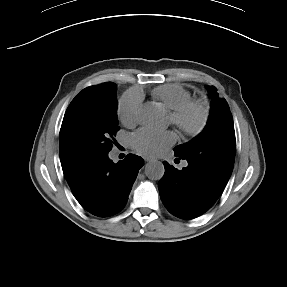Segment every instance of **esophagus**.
I'll return each instance as SVG.
<instances>
[{"mask_svg": "<svg viewBox=\"0 0 287 287\" xmlns=\"http://www.w3.org/2000/svg\"><path fill=\"white\" fill-rule=\"evenodd\" d=\"M144 160H145V162H149V161H151V159H150V158H148V157H145V158H144Z\"/></svg>", "mask_w": 287, "mask_h": 287, "instance_id": "esophagus-1", "label": "esophagus"}]
</instances>
